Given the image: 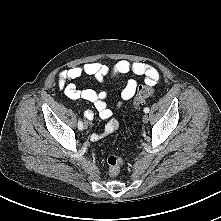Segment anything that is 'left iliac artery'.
<instances>
[{
	"mask_svg": "<svg viewBox=\"0 0 221 221\" xmlns=\"http://www.w3.org/2000/svg\"><path fill=\"white\" fill-rule=\"evenodd\" d=\"M144 112L148 113L149 112V108L148 107L144 108Z\"/></svg>",
	"mask_w": 221,
	"mask_h": 221,
	"instance_id": "1",
	"label": "left iliac artery"
}]
</instances>
